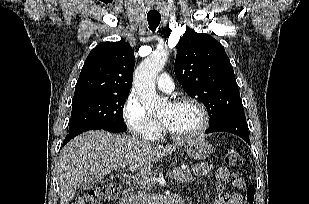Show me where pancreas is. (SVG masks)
Returning <instances> with one entry per match:
<instances>
[{
  "label": "pancreas",
  "instance_id": "obj_1",
  "mask_svg": "<svg viewBox=\"0 0 309 204\" xmlns=\"http://www.w3.org/2000/svg\"><path fill=\"white\" fill-rule=\"evenodd\" d=\"M171 173H172L171 177L174 178L178 182L188 183V182H192L195 179L193 175L191 174L189 168H185V169L175 168L173 169ZM150 187H151V183L148 180L144 181L140 186V188H143L145 190L150 189Z\"/></svg>",
  "mask_w": 309,
  "mask_h": 204
}]
</instances>
